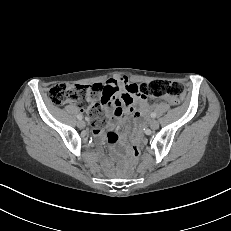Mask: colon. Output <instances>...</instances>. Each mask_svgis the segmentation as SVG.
Returning a JSON list of instances; mask_svg holds the SVG:
<instances>
[{
	"mask_svg": "<svg viewBox=\"0 0 231 231\" xmlns=\"http://www.w3.org/2000/svg\"><path fill=\"white\" fill-rule=\"evenodd\" d=\"M139 95L147 101L161 97H167L173 104L184 95V87L174 81L153 80L139 86ZM91 86L74 84H57L49 91V99L55 105H63L67 102L78 105H86L90 114L91 124L101 126L103 124L102 108L94 102ZM130 156L133 165H136L141 156V146L138 141L130 145Z\"/></svg>",
	"mask_w": 231,
	"mask_h": 231,
	"instance_id": "obj_1",
	"label": "colon"
}]
</instances>
